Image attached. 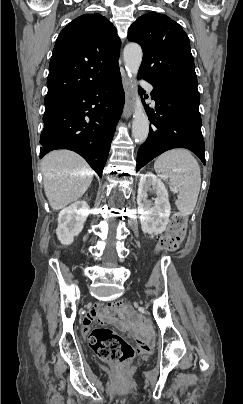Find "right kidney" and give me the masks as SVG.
<instances>
[{
	"mask_svg": "<svg viewBox=\"0 0 243 404\" xmlns=\"http://www.w3.org/2000/svg\"><path fill=\"white\" fill-rule=\"evenodd\" d=\"M87 216L84 202H75V204L61 210L56 230L57 238L61 244H65V246L72 244L75 236L82 232Z\"/></svg>",
	"mask_w": 243,
	"mask_h": 404,
	"instance_id": "right-kidney-1",
	"label": "right kidney"
}]
</instances>
